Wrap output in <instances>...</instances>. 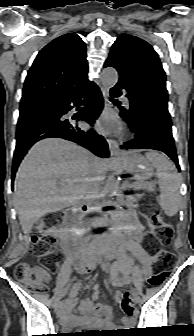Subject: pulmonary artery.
I'll use <instances>...</instances> for the list:
<instances>
[{
	"label": "pulmonary artery",
	"mask_w": 194,
	"mask_h": 336,
	"mask_svg": "<svg viewBox=\"0 0 194 336\" xmlns=\"http://www.w3.org/2000/svg\"><path fill=\"white\" fill-rule=\"evenodd\" d=\"M122 100L125 105H129V99L127 97L123 96Z\"/></svg>",
	"instance_id": "e3ab8cb5"
}]
</instances>
